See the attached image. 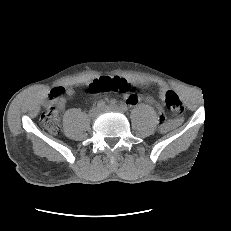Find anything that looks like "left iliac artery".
<instances>
[{
	"mask_svg": "<svg viewBox=\"0 0 231 231\" xmlns=\"http://www.w3.org/2000/svg\"><path fill=\"white\" fill-rule=\"evenodd\" d=\"M120 108L123 110V111H127L128 110V107L126 104H120Z\"/></svg>",
	"mask_w": 231,
	"mask_h": 231,
	"instance_id": "left-iliac-artery-1",
	"label": "left iliac artery"
}]
</instances>
